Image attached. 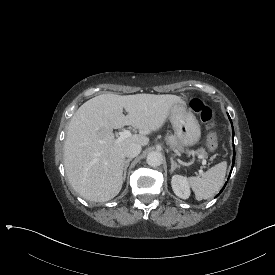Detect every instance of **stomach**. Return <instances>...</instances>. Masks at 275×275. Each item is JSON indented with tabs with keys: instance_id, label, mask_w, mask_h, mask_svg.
Returning <instances> with one entry per match:
<instances>
[{
	"instance_id": "stomach-1",
	"label": "stomach",
	"mask_w": 275,
	"mask_h": 275,
	"mask_svg": "<svg viewBox=\"0 0 275 275\" xmlns=\"http://www.w3.org/2000/svg\"><path fill=\"white\" fill-rule=\"evenodd\" d=\"M167 118L171 122L177 139L184 145H192L199 140L200 128L193 114L181 103L173 104Z\"/></svg>"
}]
</instances>
